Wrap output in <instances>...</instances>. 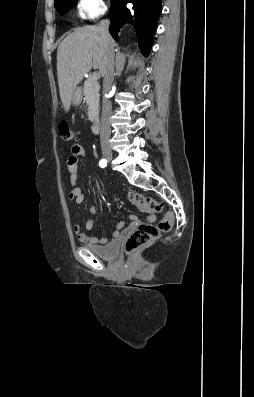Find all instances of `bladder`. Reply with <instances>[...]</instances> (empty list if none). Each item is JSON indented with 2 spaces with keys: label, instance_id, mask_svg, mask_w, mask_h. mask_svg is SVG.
I'll list each match as a JSON object with an SVG mask.
<instances>
[{
  "label": "bladder",
  "instance_id": "31cf9c89",
  "mask_svg": "<svg viewBox=\"0 0 254 397\" xmlns=\"http://www.w3.org/2000/svg\"><path fill=\"white\" fill-rule=\"evenodd\" d=\"M88 249L99 258L111 260L118 256L120 243L119 241H111L101 246H88Z\"/></svg>",
  "mask_w": 254,
  "mask_h": 397
}]
</instances>
